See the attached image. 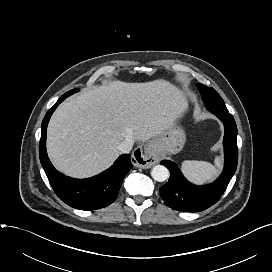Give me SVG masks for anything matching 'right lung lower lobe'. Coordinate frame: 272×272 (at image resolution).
I'll list each match as a JSON object with an SVG mask.
<instances>
[{"instance_id": "1", "label": "right lung lower lobe", "mask_w": 272, "mask_h": 272, "mask_svg": "<svg viewBox=\"0 0 272 272\" xmlns=\"http://www.w3.org/2000/svg\"><path fill=\"white\" fill-rule=\"evenodd\" d=\"M62 101L59 99L43 119L39 144L41 164L56 195L67 205L80 210L106 207L115 201L125 175L133 167L130 156L121 155L110 168L88 179H73L58 172L47 156L46 131L52 113Z\"/></svg>"}]
</instances>
